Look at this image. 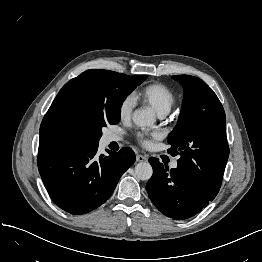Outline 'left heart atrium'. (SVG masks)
<instances>
[{
  "instance_id": "obj_1",
  "label": "left heart atrium",
  "mask_w": 262,
  "mask_h": 262,
  "mask_svg": "<svg viewBox=\"0 0 262 262\" xmlns=\"http://www.w3.org/2000/svg\"><path fill=\"white\" fill-rule=\"evenodd\" d=\"M157 133H150V132H141L138 133L136 138L137 140L143 145L148 146L150 144V138H157Z\"/></svg>"
}]
</instances>
